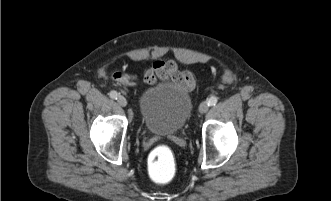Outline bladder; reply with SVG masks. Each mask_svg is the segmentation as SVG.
I'll use <instances>...</instances> for the list:
<instances>
[{
  "instance_id": "31cf9c89",
  "label": "bladder",
  "mask_w": 331,
  "mask_h": 201,
  "mask_svg": "<svg viewBox=\"0 0 331 201\" xmlns=\"http://www.w3.org/2000/svg\"><path fill=\"white\" fill-rule=\"evenodd\" d=\"M193 109L189 90L169 83L148 87L139 101L143 126L151 133L171 136L185 125Z\"/></svg>"
}]
</instances>
